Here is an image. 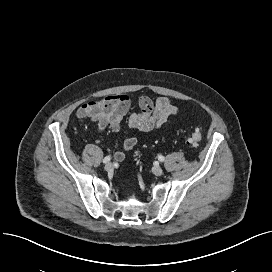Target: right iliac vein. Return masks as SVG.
I'll return each mask as SVG.
<instances>
[{
    "label": "right iliac vein",
    "mask_w": 272,
    "mask_h": 272,
    "mask_svg": "<svg viewBox=\"0 0 272 272\" xmlns=\"http://www.w3.org/2000/svg\"><path fill=\"white\" fill-rule=\"evenodd\" d=\"M104 168H105L106 171H112L113 170V164L109 162L104 166Z\"/></svg>",
    "instance_id": "63e3f726"
}]
</instances>
